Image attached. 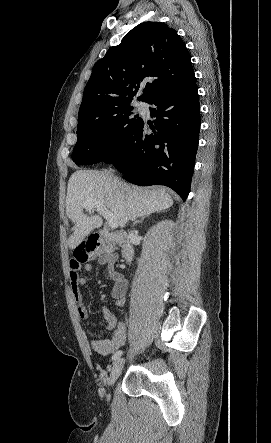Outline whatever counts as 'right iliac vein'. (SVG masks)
<instances>
[{
  "instance_id": "obj_1",
  "label": "right iliac vein",
  "mask_w": 271,
  "mask_h": 443,
  "mask_svg": "<svg viewBox=\"0 0 271 443\" xmlns=\"http://www.w3.org/2000/svg\"><path fill=\"white\" fill-rule=\"evenodd\" d=\"M124 364H125L124 358H120L114 363L109 378L110 385H113L115 383V381L117 380V378L119 377V375L123 370Z\"/></svg>"
}]
</instances>
